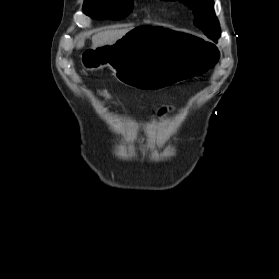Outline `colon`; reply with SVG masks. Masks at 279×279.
I'll list each match as a JSON object with an SVG mask.
<instances>
[{"label": "colon", "mask_w": 279, "mask_h": 279, "mask_svg": "<svg viewBox=\"0 0 279 279\" xmlns=\"http://www.w3.org/2000/svg\"><path fill=\"white\" fill-rule=\"evenodd\" d=\"M93 91L98 95L104 96L106 98H112V93L107 88L96 87Z\"/></svg>", "instance_id": "5ec220e1"}]
</instances>
